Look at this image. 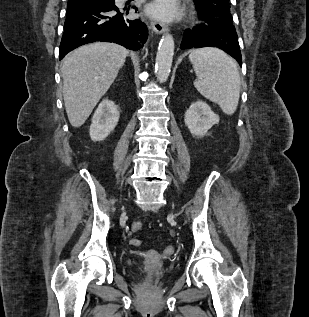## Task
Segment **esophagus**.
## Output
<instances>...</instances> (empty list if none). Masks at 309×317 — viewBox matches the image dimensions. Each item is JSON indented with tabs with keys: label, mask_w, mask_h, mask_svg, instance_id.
Wrapping results in <instances>:
<instances>
[{
	"label": "esophagus",
	"mask_w": 309,
	"mask_h": 317,
	"mask_svg": "<svg viewBox=\"0 0 309 317\" xmlns=\"http://www.w3.org/2000/svg\"><path fill=\"white\" fill-rule=\"evenodd\" d=\"M150 27L155 33H158V34L164 33L167 31V26L164 23L159 22L157 20H151Z\"/></svg>",
	"instance_id": "esophagus-1"
}]
</instances>
